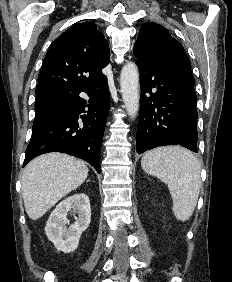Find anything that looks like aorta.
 I'll use <instances>...</instances> for the list:
<instances>
[{"instance_id": "762f6f07", "label": "aorta", "mask_w": 232, "mask_h": 282, "mask_svg": "<svg viewBox=\"0 0 232 282\" xmlns=\"http://www.w3.org/2000/svg\"><path fill=\"white\" fill-rule=\"evenodd\" d=\"M120 88L127 113L134 118L139 109V72L135 63L129 62L123 66Z\"/></svg>"}]
</instances>
